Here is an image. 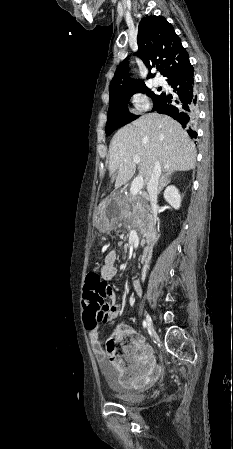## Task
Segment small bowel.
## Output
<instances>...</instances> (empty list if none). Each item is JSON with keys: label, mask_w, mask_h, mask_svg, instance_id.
I'll return each mask as SVG.
<instances>
[{"label": "small bowel", "mask_w": 233, "mask_h": 449, "mask_svg": "<svg viewBox=\"0 0 233 449\" xmlns=\"http://www.w3.org/2000/svg\"><path fill=\"white\" fill-rule=\"evenodd\" d=\"M116 250L109 251L100 266V275L104 281H111L117 274L116 262L118 260ZM102 297L112 299L114 292L112 287L104 285L102 287ZM136 295H142V285L139 280L133 284ZM84 299V298H83ZM104 317L101 323L114 320L119 314V306L111 304L109 300L103 303ZM89 340L97 362L102 372L115 374L120 383L128 388H138L144 386L152 377L156 367V356L150 345L145 342L143 336L132 333L133 344L130 352H127L128 365H125L119 358L113 360L107 350L102 346L98 336V328H87Z\"/></svg>", "instance_id": "c3829d8e"}]
</instances>
